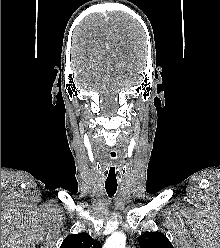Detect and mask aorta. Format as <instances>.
Wrapping results in <instances>:
<instances>
[{
	"label": "aorta",
	"mask_w": 220,
	"mask_h": 248,
	"mask_svg": "<svg viewBox=\"0 0 220 248\" xmlns=\"http://www.w3.org/2000/svg\"><path fill=\"white\" fill-rule=\"evenodd\" d=\"M125 244V235L121 232H116L106 240L103 248H125Z\"/></svg>",
	"instance_id": "1"
}]
</instances>
